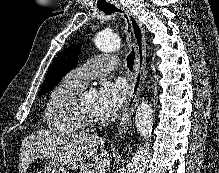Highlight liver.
I'll list each match as a JSON object with an SVG mask.
<instances>
[{
	"instance_id": "6515ba94",
	"label": "liver",
	"mask_w": 219,
	"mask_h": 173,
	"mask_svg": "<svg viewBox=\"0 0 219 173\" xmlns=\"http://www.w3.org/2000/svg\"><path fill=\"white\" fill-rule=\"evenodd\" d=\"M103 144L104 139L97 135L58 137L50 131H36L22 142L18 170L24 173L36 158H51L81 173H106L110 158Z\"/></svg>"
}]
</instances>
